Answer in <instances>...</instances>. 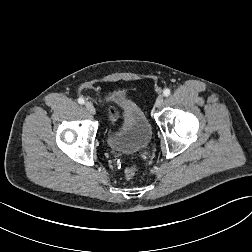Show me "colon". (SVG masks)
<instances>
[{
	"instance_id": "obj_1",
	"label": "colon",
	"mask_w": 252,
	"mask_h": 252,
	"mask_svg": "<svg viewBox=\"0 0 252 252\" xmlns=\"http://www.w3.org/2000/svg\"><path fill=\"white\" fill-rule=\"evenodd\" d=\"M109 119L113 124H116L118 121V113L114 107L109 108ZM138 171L137 164H131L127 166L124 170L125 177L127 179L133 178Z\"/></svg>"
}]
</instances>
